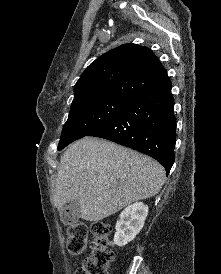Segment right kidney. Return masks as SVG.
Segmentation results:
<instances>
[{
  "label": "right kidney",
  "mask_w": 221,
  "mask_h": 274,
  "mask_svg": "<svg viewBox=\"0 0 221 274\" xmlns=\"http://www.w3.org/2000/svg\"><path fill=\"white\" fill-rule=\"evenodd\" d=\"M147 215L148 206L142 202L126 207L116 223L114 243L119 247H123L132 241L143 228Z\"/></svg>",
  "instance_id": "1"
}]
</instances>
